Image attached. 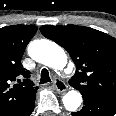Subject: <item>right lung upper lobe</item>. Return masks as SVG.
Instances as JSON below:
<instances>
[{
	"mask_svg": "<svg viewBox=\"0 0 116 116\" xmlns=\"http://www.w3.org/2000/svg\"><path fill=\"white\" fill-rule=\"evenodd\" d=\"M36 31L33 25L0 28V116H22L35 103L37 87L21 58Z\"/></svg>",
	"mask_w": 116,
	"mask_h": 116,
	"instance_id": "1",
	"label": "right lung upper lobe"
}]
</instances>
